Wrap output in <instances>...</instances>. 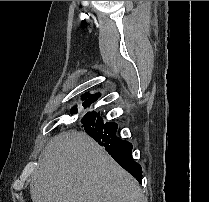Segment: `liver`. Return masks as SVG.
Masks as SVG:
<instances>
[{"mask_svg":"<svg viewBox=\"0 0 209 202\" xmlns=\"http://www.w3.org/2000/svg\"><path fill=\"white\" fill-rule=\"evenodd\" d=\"M33 202H144L136 180L86 133L64 132L42 151Z\"/></svg>","mask_w":209,"mask_h":202,"instance_id":"6515ba94","label":"liver"}]
</instances>
